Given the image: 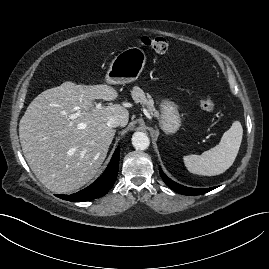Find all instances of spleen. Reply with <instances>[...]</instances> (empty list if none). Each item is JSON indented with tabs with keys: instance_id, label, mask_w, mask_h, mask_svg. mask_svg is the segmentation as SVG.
<instances>
[{
	"instance_id": "spleen-1",
	"label": "spleen",
	"mask_w": 269,
	"mask_h": 269,
	"mask_svg": "<svg viewBox=\"0 0 269 269\" xmlns=\"http://www.w3.org/2000/svg\"><path fill=\"white\" fill-rule=\"evenodd\" d=\"M243 137L240 121H234L218 145L203 152L201 155L184 156L187 169L194 174L215 176L222 174L234 163Z\"/></svg>"
}]
</instances>
